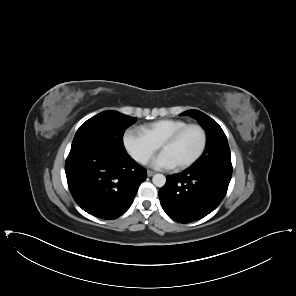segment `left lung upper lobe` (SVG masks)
<instances>
[{
    "instance_id": "1",
    "label": "left lung upper lobe",
    "mask_w": 296,
    "mask_h": 296,
    "mask_svg": "<svg viewBox=\"0 0 296 296\" xmlns=\"http://www.w3.org/2000/svg\"><path fill=\"white\" fill-rule=\"evenodd\" d=\"M189 115L199 122L207 134V144L196 166L231 165V154L225 133L212 118L198 110H187L180 114Z\"/></svg>"
}]
</instances>
